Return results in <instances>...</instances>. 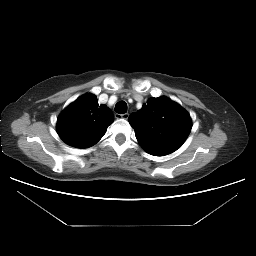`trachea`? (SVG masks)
<instances>
[{
	"mask_svg": "<svg viewBox=\"0 0 256 256\" xmlns=\"http://www.w3.org/2000/svg\"><path fill=\"white\" fill-rule=\"evenodd\" d=\"M115 111L118 114H124L127 112V104L124 101H120L115 105Z\"/></svg>",
	"mask_w": 256,
	"mask_h": 256,
	"instance_id": "obj_1",
	"label": "trachea"
}]
</instances>
